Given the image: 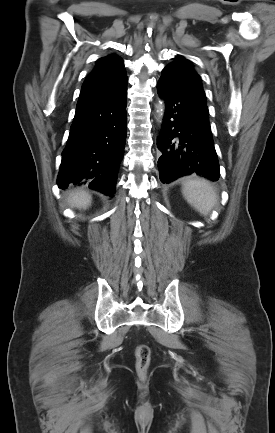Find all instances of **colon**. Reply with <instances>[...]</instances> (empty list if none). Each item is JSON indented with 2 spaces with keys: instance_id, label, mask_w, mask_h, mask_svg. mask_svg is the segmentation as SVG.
Listing matches in <instances>:
<instances>
[{
  "instance_id": "obj_1",
  "label": "colon",
  "mask_w": 275,
  "mask_h": 433,
  "mask_svg": "<svg viewBox=\"0 0 275 433\" xmlns=\"http://www.w3.org/2000/svg\"><path fill=\"white\" fill-rule=\"evenodd\" d=\"M136 372L139 377H144L148 373L150 366V349L145 344L137 345L135 348Z\"/></svg>"
}]
</instances>
